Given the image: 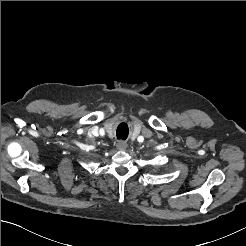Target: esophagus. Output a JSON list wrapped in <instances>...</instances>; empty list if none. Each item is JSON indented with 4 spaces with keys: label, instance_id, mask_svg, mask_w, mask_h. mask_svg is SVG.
<instances>
[{
    "label": "esophagus",
    "instance_id": "esophagus-1",
    "mask_svg": "<svg viewBox=\"0 0 246 246\" xmlns=\"http://www.w3.org/2000/svg\"><path fill=\"white\" fill-rule=\"evenodd\" d=\"M116 147L118 150L124 151L127 148V143L124 141H118Z\"/></svg>",
    "mask_w": 246,
    "mask_h": 246
}]
</instances>
